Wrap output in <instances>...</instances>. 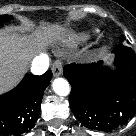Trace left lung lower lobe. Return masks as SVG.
Masks as SVG:
<instances>
[{
    "mask_svg": "<svg viewBox=\"0 0 136 136\" xmlns=\"http://www.w3.org/2000/svg\"><path fill=\"white\" fill-rule=\"evenodd\" d=\"M116 69L101 66L67 65L64 75L72 85L70 107L89 129L110 131L136 112V56L132 48L118 45L114 51Z\"/></svg>",
    "mask_w": 136,
    "mask_h": 136,
    "instance_id": "0a47b994",
    "label": "left lung lower lobe"
}]
</instances>
